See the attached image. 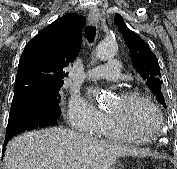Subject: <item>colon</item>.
<instances>
[{
    "label": "colon",
    "mask_w": 177,
    "mask_h": 169,
    "mask_svg": "<svg viewBox=\"0 0 177 169\" xmlns=\"http://www.w3.org/2000/svg\"><path fill=\"white\" fill-rule=\"evenodd\" d=\"M156 169H166V168H163V167H158V168H156Z\"/></svg>",
    "instance_id": "1"
}]
</instances>
